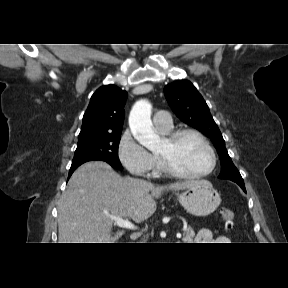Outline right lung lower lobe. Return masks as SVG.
<instances>
[{"mask_svg":"<svg viewBox=\"0 0 288 288\" xmlns=\"http://www.w3.org/2000/svg\"><path fill=\"white\" fill-rule=\"evenodd\" d=\"M78 166H79V165H77V166H71L70 171H69L68 179H69V177L72 175V173L74 172V170H75Z\"/></svg>","mask_w":288,"mask_h":288,"instance_id":"98d812e1","label":"right lung lower lobe"}]
</instances>
